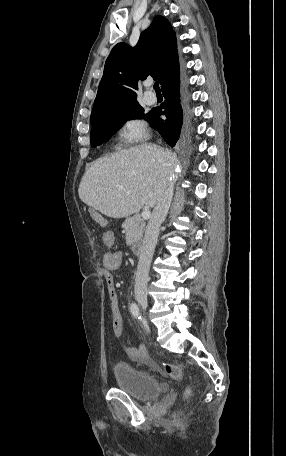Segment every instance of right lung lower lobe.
<instances>
[{
	"mask_svg": "<svg viewBox=\"0 0 286 456\" xmlns=\"http://www.w3.org/2000/svg\"><path fill=\"white\" fill-rule=\"evenodd\" d=\"M161 90L165 101L161 107L152 109L149 121L166 143L174 147L187 132L190 119L188 98L185 88L180 86V76ZM160 115H165L166 119H161Z\"/></svg>",
	"mask_w": 286,
	"mask_h": 456,
	"instance_id": "obj_1",
	"label": "right lung lower lobe"
}]
</instances>
